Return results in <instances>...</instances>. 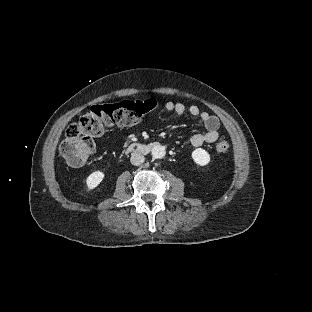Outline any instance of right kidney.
<instances>
[{
    "label": "right kidney",
    "mask_w": 312,
    "mask_h": 312,
    "mask_svg": "<svg viewBox=\"0 0 312 312\" xmlns=\"http://www.w3.org/2000/svg\"><path fill=\"white\" fill-rule=\"evenodd\" d=\"M104 174L100 171L93 172L90 174L86 180L88 191L97 187L100 182L103 180Z\"/></svg>",
    "instance_id": "obj_1"
}]
</instances>
